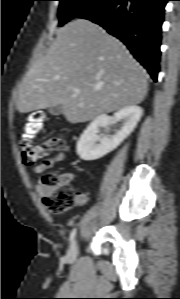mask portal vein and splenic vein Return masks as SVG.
<instances>
[{
	"mask_svg": "<svg viewBox=\"0 0 180 299\" xmlns=\"http://www.w3.org/2000/svg\"><path fill=\"white\" fill-rule=\"evenodd\" d=\"M74 92L78 94V93H80V90L79 89H74Z\"/></svg>",
	"mask_w": 180,
	"mask_h": 299,
	"instance_id": "portal-vein-and-splenic-vein-1",
	"label": "portal vein and splenic vein"
}]
</instances>
